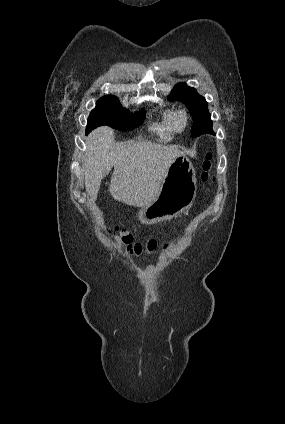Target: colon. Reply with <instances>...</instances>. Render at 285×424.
Listing matches in <instances>:
<instances>
[{"label":"colon","instance_id":"5ec220e1","mask_svg":"<svg viewBox=\"0 0 285 424\" xmlns=\"http://www.w3.org/2000/svg\"><path fill=\"white\" fill-rule=\"evenodd\" d=\"M201 179L204 182L213 181L215 179L214 165L210 153L206 155L203 162ZM109 232L112 233L117 244L130 256H137L144 253L152 254L159 248V243L156 240L151 239L142 243L135 242L125 230L118 227L109 229Z\"/></svg>","mask_w":285,"mask_h":424}]
</instances>
